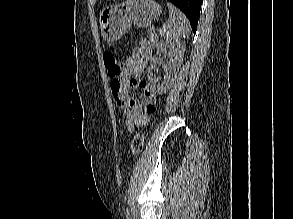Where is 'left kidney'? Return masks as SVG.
<instances>
[{"label":"left kidney","mask_w":293,"mask_h":219,"mask_svg":"<svg viewBox=\"0 0 293 219\" xmlns=\"http://www.w3.org/2000/svg\"><path fill=\"white\" fill-rule=\"evenodd\" d=\"M184 43L165 39L160 41L157 48L156 58H153L150 66L148 67V80L150 88L157 94L166 93L173 84L177 72L181 66L184 56ZM165 54L167 56V64L164 65L165 75L162 82L155 77L153 71L156 69V61L158 56Z\"/></svg>","instance_id":"obj_1"}]
</instances>
